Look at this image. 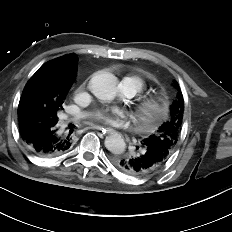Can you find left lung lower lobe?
Wrapping results in <instances>:
<instances>
[{"label": "left lung lower lobe", "instance_id": "1", "mask_svg": "<svg viewBox=\"0 0 232 232\" xmlns=\"http://www.w3.org/2000/svg\"><path fill=\"white\" fill-rule=\"evenodd\" d=\"M137 153L128 158L117 157L113 160L115 166L122 172L132 176H145L158 170L168 159L162 150L139 145Z\"/></svg>", "mask_w": 232, "mask_h": 232}]
</instances>
